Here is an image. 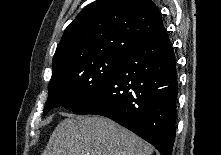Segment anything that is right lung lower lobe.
<instances>
[{"mask_svg": "<svg viewBox=\"0 0 221 155\" xmlns=\"http://www.w3.org/2000/svg\"><path fill=\"white\" fill-rule=\"evenodd\" d=\"M177 72L164 30L136 44L106 85L78 113L111 118L172 155L175 139Z\"/></svg>", "mask_w": 221, "mask_h": 155, "instance_id": "1", "label": "right lung lower lobe"}]
</instances>
